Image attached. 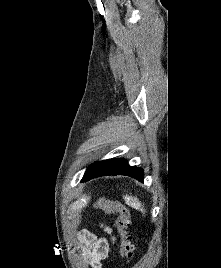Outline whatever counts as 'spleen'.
I'll return each instance as SVG.
<instances>
[{
    "instance_id": "1",
    "label": "spleen",
    "mask_w": 221,
    "mask_h": 268,
    "mask_svg": "<svg viewBox=\"0 0 221 268\" xmlns=\"http://www.w3.org/2000/svg\"><path fill=\"white\" fill-rule=\"evenodd\" d=\"M124 200L127 205L140 210L142 213H145V210L143 209V207H141V202L137 198L126 195L124 196Z\"/></svg>"
}]
</instances>
